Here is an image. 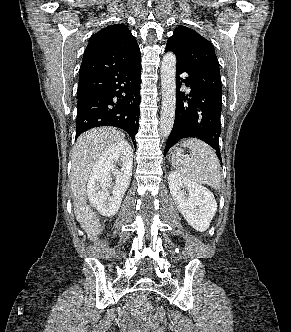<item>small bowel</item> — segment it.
Returning <instances> with one entry per match:
<instances>
[{
	"label": "small bowel",
	"instance_id": "c3829d8e",
	"mask_svg": "<svg viewBox=\"0 0 291 332\" xmlns=\"http://www.w3.org/2000/svg\"><path fill=\"white\" fill-rule=\"evenodd\" d=\"M132 314L138 322L143 323L147 326L155 325L156 321L161 318V314H158L156 316H152V315H149V314H143V313L139 312L137 304H135L132 307Z\"/></svg>",
	"mask_w": 291,
	"mask_h": 332
}]
</instances>
